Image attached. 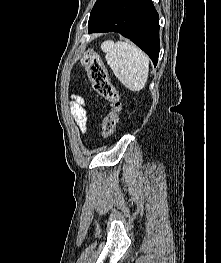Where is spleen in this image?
I'll return each instance as SVG.
<instances>
[{
    "label": "spleen",
    "instance_id": "spleen-1",
    "mask_svg": "<svg viewBox=\"0 0 221 263\" xmlns=\"http://www.w3.org/2000/svg\"><path fill=\"white\" fill-rule=\"evenodd\" d=\"M101 49L107 64L119 81L131 91L142 90L149 74V58L135 45L125 41L107 40Z\"/></svg>",
    "mask_w": 221,
    "mask_h": 263
}]
</instances>
